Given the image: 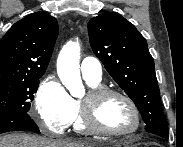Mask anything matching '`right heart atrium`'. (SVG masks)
<instances>
[{"mask_svg":"<svg viewBox=\"0 0 183 147\" xmlns=\"http://www.w3.org/2000/svg\"><path fill=\"white\" fill-rule=\"evenodd\" d=\"M39 124L46 130L62 134L74 118L73 98L54 76H46L35 94Z\"/></svg>","mask_w":183,"mask_h":147,"instance_id":"right-heart-atrium-1","label":"right heart atrium"}]
</instances>
